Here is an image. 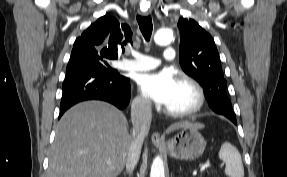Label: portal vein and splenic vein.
<instances>
[{"instance_id": "obj_1", "label": "portal vein and splenic vein", "mask_w": 287, "mask_h": 177, "mask_svg": "<svg viewBox=\"0 0 287 177\" xmlns=\"http://www.w3.org/2000/svg\"><path fill=\"white\" fill-rule=\"evenodd\" d=\"M107 164H111L110 161L107 162ZM212 165L209 163H204L202 164L201 168H200V172H204L206 169L210 168Z\"/></svg>"}]
</instances>
